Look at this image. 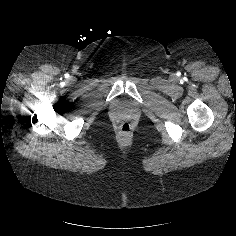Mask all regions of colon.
Returning a JSON list of instances; mask_svg holds the SVG:
<instances>
[{
  "label": "colon",
  "mask_w": 236,
  "mask_h": 236,
  "mask_svg": "<svg viewBox=\"0 0 236 236\" xmlns=\"http://www.w3.org/2000/svg\"><path fill=\"white\" fill-rule=\"evenodd\" d=\"M119 130L123 135H128L132 130V126L129 122H122L119 126Z\"/></svg>",
  "instance_id": "5ec220e1"
}]
</instances>
